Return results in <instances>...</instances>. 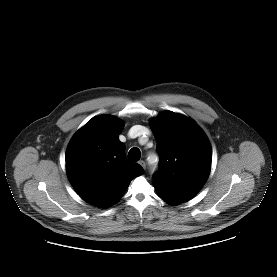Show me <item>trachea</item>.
Segmentation results:
<instances>
[{"label": "trachea", "instance_id": "1", "mask_svg": "<svg viewBox=\"0 0 277 277\" xmlns=\"http://www.w3.org/2000/svg\"><path fill=\"white\" fill-rule=\"evenodd\" d=\"M141 157V152L138 148H132L128 153V158L132 161H138Z\"/></svg>", "mask_w": 277, "mask_h": 277}]
</instances>
